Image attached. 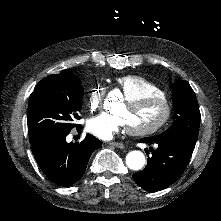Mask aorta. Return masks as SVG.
<instances>
[{
  "mask_svg": "<svg viewBox=\"0 0 221 221\" xmlns=\"http://www.w3.org/2000/svg\"><path fill=\"white\" fill-rule=\"evenodd\" d=\"M145 156L141 151H130L126 155V165L131 170H140L145 165Z\"/></svg>",
  "mask_w": 221,
  "mask_h": 221,
  "instance_id": "aorta-1",
  "label": "aorta"
}]
</instances>
